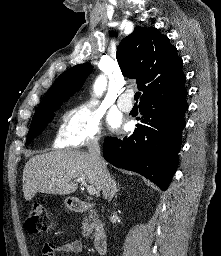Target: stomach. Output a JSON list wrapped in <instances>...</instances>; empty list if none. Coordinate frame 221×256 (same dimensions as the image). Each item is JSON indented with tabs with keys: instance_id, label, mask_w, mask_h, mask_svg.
Segmentation results:
<instances>
[{
	"instance_id": "obj_1",
	"label": "stomach",
	"mask_w": 221,
	"mask_h": 256,
	"mask_svg": "<svg viewBox=\"0 0 221 256\" xmlns=\"http://www.w3.org/2000/svg\"><path fill=\"white\" fill-rule=\"evenodd\" d=\"M65 205L68 209H73V199L72 198H67L65 200Z\"/></svg>"
}]
</instances>
